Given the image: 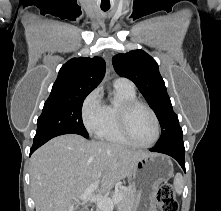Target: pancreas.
<instances>
[{
	"mask_svg": "<svg viewBox=\"0 0 221 211\" xmlns=\"http://www.w3.org/2000/svg\"><path fill=\"white\" fill-rule=\"evenodd\" d=\"M116 193L122 194V200L118 203L119 211H133L135 192L134 189L129 186L127 188H121ZM96 211H103L101 208H97Z\"/></svg>",
	"mask_w": 221,
	"mask_h": 211,
	"instance_id": "pancreas-1",
	"label": "pancreas"
}]
</instances>
